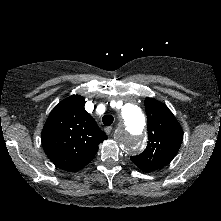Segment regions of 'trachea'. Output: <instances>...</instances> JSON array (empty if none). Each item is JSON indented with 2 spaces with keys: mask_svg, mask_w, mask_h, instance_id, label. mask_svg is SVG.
Returning a JSON list of instances; mask_svg holds the SVG:
<instances>
[{
  "mask_svg": "<svg viewBox=\"0 0 221 221\" xmlns=\"http://www.w3.org/2000/svg\"><path fill=\"white\" fill-rule=\"evenodd\" d=\"M113 116L112 115H105L102 118V122L105 126H110L113 123Z\"/></svg>",
  "mask_w": 221,
  "mask_h": 221,
  "instance_id": "3493384b",
  "label": "trachea"
}]
</instances>
